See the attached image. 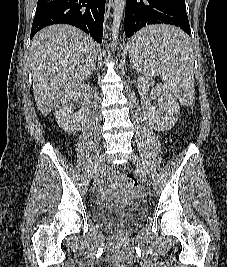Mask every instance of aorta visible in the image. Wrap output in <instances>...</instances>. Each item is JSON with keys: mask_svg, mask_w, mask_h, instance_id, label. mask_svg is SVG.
I'll return each instance as SVG.
<instances>
[{"mask_svg": "<svg viewBox=\"0 0 227 267\" xmlns=\"http://www.w3.org/2000/svg\"><path fill=\"white\" fill-rule=\"evenodd\" d=\"M126 0H114L113 4V24H112V39L114 41L113 48L117 45V39L119 34V28L123 16V12L125 9Z\"/></svg>", "mask_w": 227, "mask_h": 267, "instance_id": "1", "label": "aorta"}]
</instances>
